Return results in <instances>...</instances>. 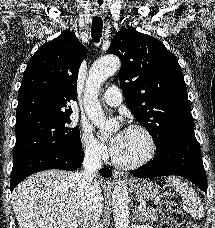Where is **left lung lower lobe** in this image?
Masks as SVG:
<instances>
[{"label":"left lung lower lobe","mask_w":215,"mask_h":228,"mask_svg":"<svg viewBox=\"0 0 215 228\" xmlns=\"http://www.w3.org/2000/svg\"><path fill=\"white\" fill-rule=\"evenodd\" d=\"M130 173L139 178L182 176L207 193V177L194 130L169 136L157 146L154 159Z\"/></svg>","instance_id":"obj_1"}]
</instances>
